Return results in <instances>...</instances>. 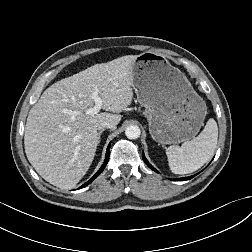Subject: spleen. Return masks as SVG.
<instances>
[{"mask_svg":"<svg viewBox=\"0 0 252 252\" xmlns=\"http://www.w3.org/2000/svg\"><path fill=\"white\" fill-rule=\"evenodd\" d=\"M218 126L211 118L203 131L194 139L179 146L166 148L170 170L174 174H188L201 168L214 154L217 146Z\"/></svg>","mask_w":252,"mask_h":252,"instance_id":"obj_1","label":"spleen"}]
</instances>
